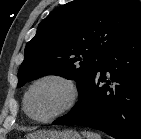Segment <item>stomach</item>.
I'll use <instances>...</instances> for the list:
<instances>
[{
	"label": "stomach",
	"mask_w": 141,
	"mask_h": 139,
	"mask_svg": "<svg viewBox=\"0 0 141 139\" xmlns=\"http://www.w3.org/2000/svg\"><path fill=\"white\" fill-rule=\"evenodd\" d=\"M26 139H82V137L75 130H49L35 132L28 135Z\"/></svg>",
	"instance_id": "stomach-1"
}]
</instances>
